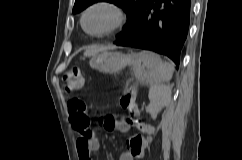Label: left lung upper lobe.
Masks as SVG:
<instances>
[{
    "instance_id": "left-lung-upper-lobe-1",
    "label": "left lung upper lobe",
    "mask_w": 242,
    "mask_h": 160,
    "mask_svg": "<svg viewBox=\"0 0 242 160\" xmlns=\"http://www.w3.org/2000/svg\"><path fill=\"white\" fill-rule=\"evenodd\" d=\"M101 1L114 3L121 7L127 15V22L123 27V31L116 38L126 35L131 31L133 23L140 16L148 2V0H76L73 13L81 12L91 4Z\"/></svg>"
}]
</instances>
